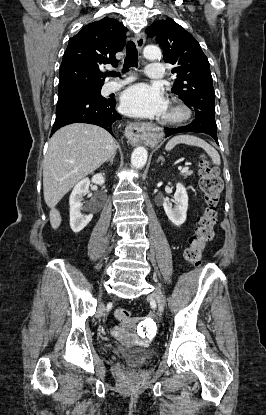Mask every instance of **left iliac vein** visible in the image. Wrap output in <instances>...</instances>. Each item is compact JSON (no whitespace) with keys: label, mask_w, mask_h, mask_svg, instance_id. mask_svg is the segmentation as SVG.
Here are the masks:
<instances>
[{"label":"left iliac vein","mask_w":266,"mask_h":415,"mask_svg":"<svg viewBox=\"0 0 266 415\" xmlns=\"http://www.w3.org/2000/svg\"><path fill=\"white\" fill-rule=\"evenodd\" d=\"M153 296L155 298V300L157 301L158 307L159 308H164L165 307V298L163 296L162 291L158 288L155 287V290L153 292Z\"/></svg>","instance_id":"1"}]
</instances>
